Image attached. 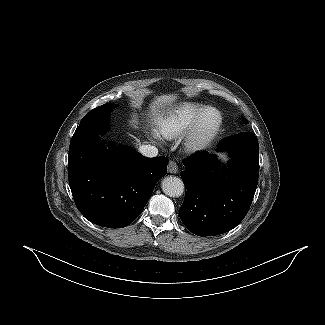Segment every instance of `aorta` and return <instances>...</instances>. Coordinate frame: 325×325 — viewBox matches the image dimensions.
<instances>
[{
	"label": "aorta",
	"mask_w": 325,
	"mask_h": 325,
	"mask_svg": "<svg viewBox=\"0 0 325 325\" xmlns=\"http://www.w3.org/2000/svg\"><path fill=\"white\" fill-rule=\"evenodd\" d=\"M162 191L170 197H179L184 192L183 181L176 176H168L162 180Z\"/></svg>",
	"instance_id": "obj_1"
}]
</instances>
